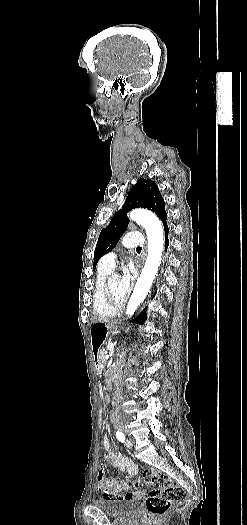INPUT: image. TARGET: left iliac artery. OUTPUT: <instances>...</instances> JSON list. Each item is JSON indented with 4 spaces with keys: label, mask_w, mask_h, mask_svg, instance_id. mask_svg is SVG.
I'll return each mask as SVG.
<instances>
[{
    "label": "left iliac artery",
    "mask_w": 247,
    "mask_h": 525,
    "mask_svg": "<svg viewBox=\"0 0 247 525\" xmlns=\"http://www.w3.org/2000/svg\"><path fill=\"white\" fill-rule=\"evenodd\" d=\"M116 437H117V439H118L119 441H121V442H124V441H125V435H124L122 432H120V431H117V432H116Z\"/></svg>",
    "instance_id": "1"
}]
</instances>
